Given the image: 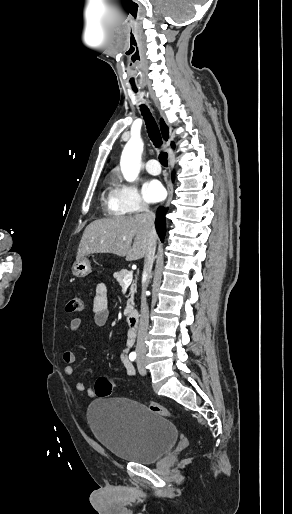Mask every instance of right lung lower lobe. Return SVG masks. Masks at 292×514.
<instances>
[{"label": "right lung lower lobe", "mask_w": 292, "mask_h": 514, "mask_svg": "<svg viewBox=\"0 0 292 514\" xmlns=\"http://www.w3.org/2000/svg\"><path fill=\"white\" fill-rule=\"evenodd\" d=\"M172 180H174V175L172 174ZM168 211V208H164L163 206H160L157 209L156 212V219H155V226L157 233L159 234V237L161 241H164V235H165V215Z\"/></svg>", "instance_id": "obj_1"}]
</instances>
